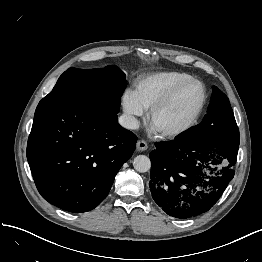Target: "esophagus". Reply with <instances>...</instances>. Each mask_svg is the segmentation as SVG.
Segmentation results:
<instances>
[{"label": "esophagus", "mask_w": 262, "mask_h": 262, "mask_svg": "<svg viewBox=\"0 0 262 262\" xmlns=\"http://www.w3.org/2000/svg\"><path fill=\"white\" fill-rule=\"evenodd\" d=\"M136 146L139 151H145L148 148V145L144 140L137 141Z\"/></svg>", "instance_id": "1"}]
</instances>
